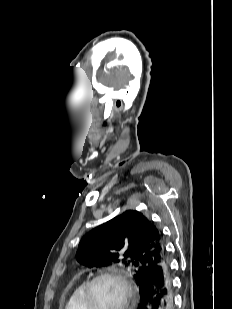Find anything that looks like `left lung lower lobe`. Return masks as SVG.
Here are the masks:
<instances>
[{"mask_svg": "<svg viewBox=\"0 0 232 309\" xmlns=\"http://www.w3.org/2000/svg\"><path fill=\"white\" fill-rule=\"evenodd\" d=\"M138 309H173L174 294L171 267L166 257L151 268L141 288Z\"/></svg>", "mask_w": 232, "mask_h": 309, "instance_id": "0a47b994", "label": "left lung lower lobe"}]
</instances>
